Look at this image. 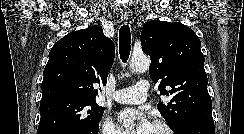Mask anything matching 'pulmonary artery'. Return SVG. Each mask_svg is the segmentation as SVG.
<instances>
[{"label": "pulmonary artery", "mask_w": 244, "mask_h": 134, "mask_svg": "<svg viewBox=\"0 0 244 134\" xmlns=\"http://www.w3.org/2000/svg\"><path fill=\"white\" fill-rule=\"evenodd\" d=\"M148 89V81L140 80L132 87L117 90L113 99L123 104H139L146 100Z\"/></svg>", "instance_id": "pulmonary-artery-1"}]
</instances>
